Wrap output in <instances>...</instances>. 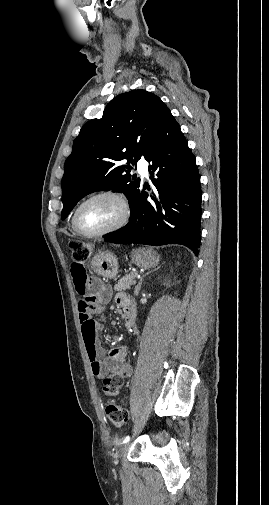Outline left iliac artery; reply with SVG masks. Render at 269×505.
<instances>
[{"instance_id":"obj_1","label":"left iliac artery","mask_w":269,"mask_h":505,"mask_svg":"<svg viewBox=\"0 0 269 505\" xmlns=\"http://www.w3.org/2000/svg\"><path fill=\"white\" fill-rule=\"evenodd\" d=\"M129 440H130V436L128 435V436H126V437L123 439V442H122V443H123V444H125V443L129 442Z\"/></svg>"}]
</instances>
